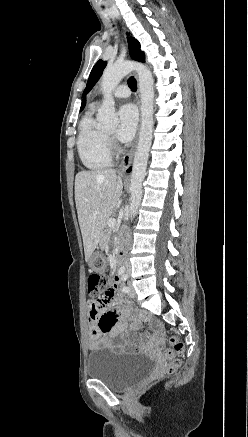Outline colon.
Listing matches in <instances>:
<instances>
[{
	"instance_id": "obj_1",
	"label": "colon",
	"mask_w": 248,
	"mask_h": 437,
	"mask_svg": "<svg viewBox=\"0 0 248 437\" xmlns=\"http://www.w3.org/2000/svg\"><path fill=\"white\" fill-rule=\"evenodd\" d=\"M110 279L106 275L92 274L88 279V292L91 297L100 299L110 290ZM169 347L165 350V358L168 361L167 373L176 372L180 365L181 356L184 352V344L175 336L168 338Z\"/></svg>"
}]
</instances>
